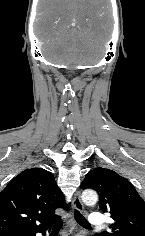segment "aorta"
<instances>
[{"mask_svg":"<svg viewBox=\"0 0 145 236\" xmlns=\"http://www.w3.org/2000/svg\"><path fill=\"white\" fill-rule=\"evenodd\" d=\"M82 201L86 204V205H94L97 203L98 201V195L95 191L93 190H85L82 193Z\"/></svg>","mask_w":145,"mask_h":236,"instance_id":"aorta-1","label":"aorta"}]
</instances>
